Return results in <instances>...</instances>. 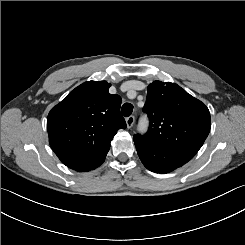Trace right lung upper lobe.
<instances>
[{"instance_id":"1","label":"right lung upper lobe","mask_w":245,"mask_h":245,"mask_svg":"<svg viewBox=\"0 0 245 245\" xmlns=\"http://www.w3.org/2000/svg\"><path fill=\"white\" fill-rule=\"evenodd\" d=\"M110 83L88 81L71 91L47 117L52 150L63 164L78 172L99 167L110 143L126 122L121 98L109 93Z\"/></svg>"}]
</instances>
